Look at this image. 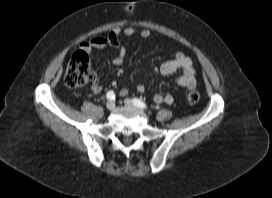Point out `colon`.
<instances>
[{"mask_svg":"<svg viewBox=\"0 0 272 198\" xmlns=\"http://www.w3.org/2000/svg\"><path fill=\"white\" fill-rule=\"evenodd\" d=\"M95 71L90 64L89 56L84 51L76 52L65 72L64 81L70 88L82 87L94 79ZM200 96L196 91L188 94L187 100L190 104L199 101Z\"/></svg>","mask_w":272,"mask_h":198,"instance_id":"1","label":"colon"}]
</instances>
